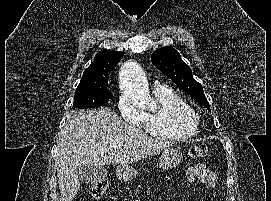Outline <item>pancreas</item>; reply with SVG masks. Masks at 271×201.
<instances>
[{
    "label": "pancreas",
    "mask_w": 271,
    "mask_h": 201,
    "mask_svg": "<svg viewBox=\"0 0 271 201\" xmlns=\"http://www.w3.org/2000/svg\"><path fill=\"white\" fill-rule=\"evenodd\" d=\"M140 186H138V188H139ZM135 193L137 194V193H139V190L137 189L136 191H135Z\"/></svg>",
    "instance_id": "obj_1"
}]
</instances>
